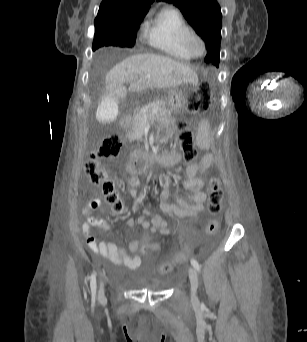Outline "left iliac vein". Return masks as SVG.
I'll return each instance as SVG.
<instances>
[{
	"label": "left iliac vein",
	"mask_w": 307,
	"mask_h": 342,
	"mask_svg": "<svg viewBox=\"0 0 307 342\" xmlns=\"http://www.w3.org/2000/svg\"><path fill=\"white\" fill-rule=\"evenodd\" d=\"M189 279L191 283V300L197 301V289H198V276L196 270L193 267L189 268Z\"/></svg>",
	"instance_id": "obj_1"
}]
</instances>
